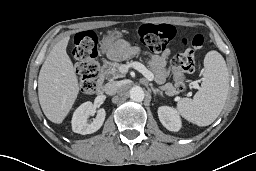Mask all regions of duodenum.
Here are the masks:
<instances>
[{
    "label": "duodenum",
    "instance_id": "410a0bca",
    "mask_svg": "<svg viewBox=\"0 0 256 171\" xmlns=\"http://www.w3.org/2000/svg\"><path fill=\"white\" fill-rule=\"evenodd\" d=\"M108 65V61L107 60H102L101 62V69H100V76H99V80L98 83L96 85V93L98 95L103 94L104 91V81H105V71Z\"/></svg>",
    "mask_w": 256,
    "mask_h": 171
}]
</instances>
